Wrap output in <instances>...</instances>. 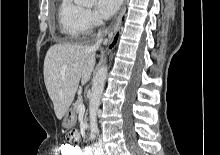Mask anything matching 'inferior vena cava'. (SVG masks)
<instances>
[{
    "label": "inferior vena cava",
    "mask_w": 220,
    "mask_h": 155,
    "mask_svg": "<svg viewBox=\"0 0 220 155\" xmlns=\"http://www.w3.org/2000/svg\"><path fill=\"white\" fill-rule=\"evenodd\" d=\"M101 42H102V37H101V34H99L98 35V40H97V42L95 44V47L99 46L101 44Z\"/></svg>",
    "instance_id": "1"
}]
</instances>
